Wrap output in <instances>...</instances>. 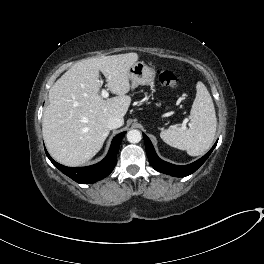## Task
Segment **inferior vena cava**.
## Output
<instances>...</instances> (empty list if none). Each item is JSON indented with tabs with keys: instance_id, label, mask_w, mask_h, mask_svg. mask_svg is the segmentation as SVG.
Segmentation results:
<instances>
[{
	"instance_id": "obj_1",
	"label": "inferior vena cava",
	"mask_w": 264,
	"mask_h": 264,
	"mask_svg": "<svg viewBox=\"0 0 264 264\" xmlns=\"http://www.w3.org/2000/svg\"><path fill=\"white\" fill-rule=\"evenodd\" d=\"M124 120L123 118L113 116L108 120V128L109 129H116L123 125Z\"/></svg>"
}]
</instances>
